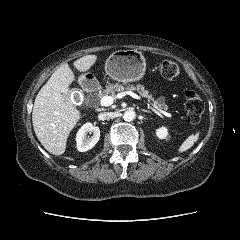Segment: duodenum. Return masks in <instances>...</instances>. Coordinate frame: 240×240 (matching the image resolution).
Segmentation results:
<instances>
[{
  "label": "duodenum",
  "mask_w": 240,
  "mask_h": 240,
  "mask_svg": "<svg viewBox=\"0 0 240 240\" xmlns=\"http://www.w3.org/2000/svg\"><path fill=\"white\" fill-rule=\"evenodd\" d=\"M86 86H87L91 91H93V90L96 89L95 85H93V84L90 83V82H87V83H86Z\"/></svg>",
  "instance_id": "410a0bca"
}]
</instances>
